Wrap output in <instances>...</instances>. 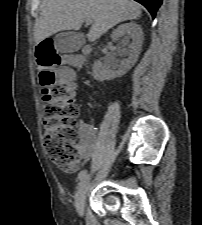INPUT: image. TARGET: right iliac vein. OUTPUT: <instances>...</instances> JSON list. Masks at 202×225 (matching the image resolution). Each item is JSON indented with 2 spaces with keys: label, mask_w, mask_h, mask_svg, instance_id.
Returning a JSON list of instances; mask_svg holds the SVG:
<instances>
[{
  "label": "right iliac vein",
  "mask_w": 202,
  "mask_h": 225,
  "mask_svg": "<svg viewBox=\"0 0 202 225\" xmlns=\"http://www.w3.org/2000/svg\"><path fill=\"white\" fill-rule=\"evenodd\" d=\"M90 185V176L85 177L79 183L75 196V207L80 216L84 215L85 198Z\"/></svg>",
  "instance_id": "63e3f726"
}]
</instances>
